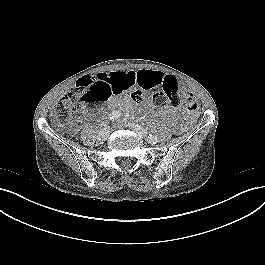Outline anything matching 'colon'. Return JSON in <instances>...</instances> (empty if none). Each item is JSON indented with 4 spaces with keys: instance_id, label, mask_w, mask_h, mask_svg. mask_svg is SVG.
Returning <instances> with one entry per match:
<instances>
[{
    "instance_id": "colon-1",
    "label": "colon",
    "mask_w": 265,
    "mask_h": 265,
    "mask_svg": "<svg viewBox=\"0 0 265 265\" xmlns=\"http://www.w3.org/2000/svg\"><path fill=\"white\" fill-rule=\"evenodd\" d=\"M149 91L152 93L151 101L157 108H164L167 105L176 108L183 102L185 110L189 113H197L201 109L200 100L194 95L186 96L179 81L171 75L165 76L160 87ZM112 94L105 76H84L58 101L54 107L53 116L60 122H66L79 99L84 102L105 101ZM131 99L136 105H140L144 99V93L136 90L131 94Z\"/></svg>"
}]
</instances>
